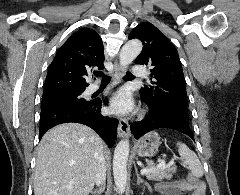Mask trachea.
<instances>
[{
  "mask_svg": "<svg viewBox=\"0 0 240 195\" xmlns=\"http://www.w3.org/2000/svg\"><path fill=\"white\" fill-rule=\"evenodd\" d=\"M94 75L96 77H102V81H101V84H106V83H110L111 81V77L104 74V72L102 71H97V72H93ZM125 79H132L134 78V75H132V73L130 72H127L126 75L124 76Z\"/></svg>",
  "mask_w": 240,
  "mask_h": 195,
  "instance_id": "obj_1",
  "label": "trachea"
}]
</instances>
